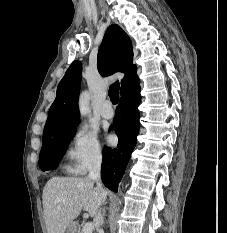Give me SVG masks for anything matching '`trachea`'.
Listing matches in <instances>:
<instances>
[{
    "mask_svg": "<svg viewBox=\"0 0 227 233\" xmlns=\"http://www.w3.org/2000/svg\"><path fill=\"white\" fill-rule=\"evenodd\" d=\"M109 97L113 104H117L119 102V82H115L109 88Z\"/></svg>",
    "mask_w": 227,
    "mask_h": 233,
    "instance_id": "3493384b",
    "label": "trachea"
}]
</instances>
